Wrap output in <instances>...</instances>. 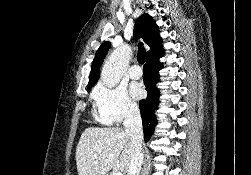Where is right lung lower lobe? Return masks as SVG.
Returning <instances> with one entry per match:
<instances>
[{"label": "right lung lower lobe", "instance_id": "obj_1", "mask_svg": "<svg viewBox=\"0 0 251 175\" xmlns=\"http://www.w3.org/2000/svg\"><path fill=\"white\" fill-rule=\"evenodd\" d=\"M161 63L157 60L155 62H146L143 69L144 84L148 92L147 99L141 100L139 103L143 132L145 141H148L153 133L156 125L154 111L158 108L159 104V91L156 87L158 82Z\"/></svg>", "mask_w": 251, "mask_h": 175}]
</instances>
